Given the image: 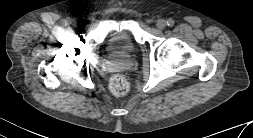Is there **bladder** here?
Instances as JSON below:
<instances>
[{"label":"bladder","instance_id":"bladder-1","mask_svg":"<svg viewBox=\"0 0 253 138\" xmlns=\"http://www.w3.org/2000/svg\"><path fill=\"white\" fill-rule=\"evenodd\" d=\"M105 48L109 52L130 57L137 51L138 44L130 32L119 30L109 34L105 42Z\"/></svg>","mask_w":253,"mask_h":138}]
</instances>
